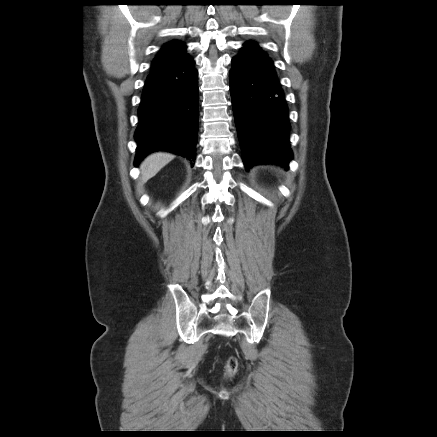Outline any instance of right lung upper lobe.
Returning <instances> with one entry per match:
<instances>
[{
	"label": "right lung upper lobe",
	"mask_w": 437,
	"mask_h": 437,
	"mask_svg": "<svg viewBox=\"0 0 437 437\" xmlns=\"http://www.w3.org/2000/svg\"><path fill=\"white\" fill-rule=\"evenodd\" d=\"M186 46L184 43L173 40L162 46L159 53L152 62V70L172 64L185 57Z\"/></svg>",
	"instance_id": "right-lung-upper-lobe-1"
}]
</instances>
